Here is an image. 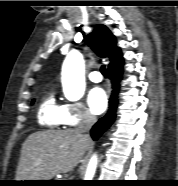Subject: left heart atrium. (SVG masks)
Wrapping results in <instances>:
<instances>
[{
	"instance_id": "left-heart-atrium-1",
	"label": "left heart atrium",
	"mask_w": 178,
	"mask_h": 186,
	"mask_svg": "<svg viewBox=\"0 0 178 186\" xmlns=\"http://www.w3.org/2000/svg\"><path fill=\"white\" fill-rule=\"evenodd\" d=\"M87 103L94 114L102 113L107 107V95L101 87L92 88L87 95Z\"/></svg>"
}]
</instances>
